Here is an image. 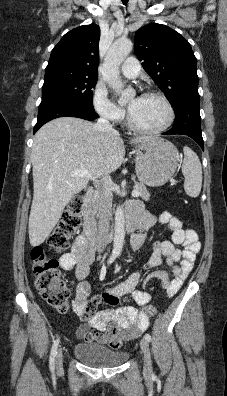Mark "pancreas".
Wrapping results in <instances>:
<instances>
[{
	"label": "pancreas",
	"instance_id": "obj_1",
	"mask_svg": "<svg viewBox=\"0 0 227 396\" xmlns=\"http://www.w3.org/2000/svg\"><path fill=\"white\" fill-rule=\"evenodd\" d=\"M134 189L139 191V196L141 197V199H143L145 201H148L150 199V194L147 191L146 186L143 183L135 182ZM97 210H98V202H95L92 205V208L89 210L90 215H91V220H93V221H94V216H95Z\"/></svg>",
	"mask_w": 227,
	"mask_h": 396
}]
</instances>
